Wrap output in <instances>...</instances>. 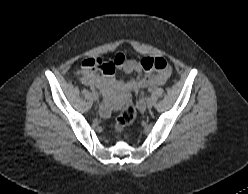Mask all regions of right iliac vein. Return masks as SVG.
Masks as SVG:
<instances>
[{
    "instance_id": "63e3f726",
    "label": "right iliac vein",
    "mask_w": 248,
    "mask_h": 194,
    "mask_svg": "<svg viewBox=\"0 0 248 194\" xmlns=\"http://www.w3.org/2000/svg\"><path fill=\"white\" fill-rule=\"evenodd\" d=\"M92 98L95 100V101H98L99 100V95L97 92H92Z\"/></svg>"
}]
</instances>
